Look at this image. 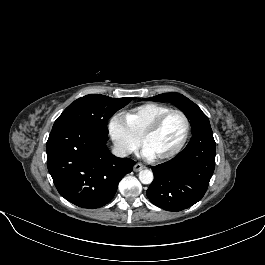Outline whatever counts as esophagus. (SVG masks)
Returning <instances> with one entry per match:
<instances>
[{"label":"esophagus","mask_w":265,"mask_h":265,"mask_svg":"<svg viewBox=\"0 0 265 265\" xmlns=\"http://www.w3.org/2000/svg\"><path fill=\"white\" fill-rule=\"evenodd\" d=\"M144 169V166L141 163H136L133 167V170L135 172H140Z\"/></svg>","instance_id":"34e87169"}]
</instances>
